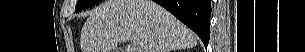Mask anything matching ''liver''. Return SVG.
<instances>
[{"instance_id":"obj_1","label":"liver","mask_w":305,"mask_h":52,"mask_svg":"<svg viewBox=\"0 0 305 52\" xmlns=\"http://www.w3.org/2000/svg\"><path fill=\"white\" fill-rule=\"evenodd\" d=\"M172 52L197 45L194 33L165 8L151 0H107L85 21L82 52Z\"/></svg>"}]
</instances>
